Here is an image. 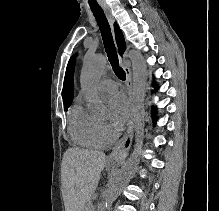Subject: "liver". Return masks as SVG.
Masks as SVG:
<instances>
[{"mask_svg":"<svg viewBox=\"0 0 219 211\" xmlns=\"http://www.w3.org/2000/svg\"><path fill=\"white\" fill-rule=\"evenodd\" d=\"M108 161L103 151L69 147L63 157L64 205L66 211H83L98 187Z\"/></svg>","mask_w":219,"mask_h":211,"instance_id":"1","label":"liver"}]
</instances>
